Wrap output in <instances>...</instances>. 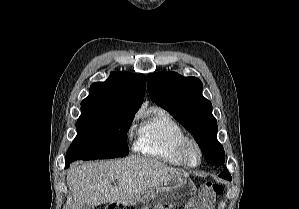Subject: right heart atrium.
Here are the masks:
<instances>
[{
	"mask_svg": "<svg viewBox=\"0 0 299 209\" xmlns=\"http://www.w3.org/2000/svg\"><path fill=\"white\" fill-rule=\"evenodd\" d=\"M128 136L130 137V136H131V133H129Z\"/></svg>",
	"mask_w": 299,
	"mask_h": 209,
	"instance_id": "obj_1",
	"label": "right heart atrium"
}]
</instances>
